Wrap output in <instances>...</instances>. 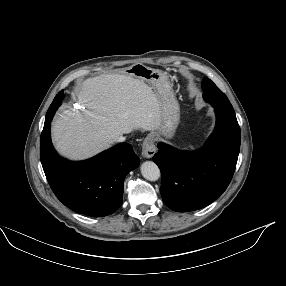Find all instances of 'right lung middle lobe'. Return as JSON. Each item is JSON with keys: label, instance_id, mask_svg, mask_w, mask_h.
<instances>
[{"label": "right lung middle lobe", "instance_id": "obj_1", "mask_svg": "<svg viewBox=\"0 0 286 286\" xmlns=\"http://www.w3.org/2000/svg\"><path fill=\"white\" fill-rule=\"evenodd\" d=\"M63 97H64V93H63V90H62V91H60V92L56 95V97L54 98L52 104L50 105V107H49V109H48V111H47L46 117H45L46 119H47V118H50V115H51L53 112L55 113V111L57 110V108L60 106ZM54 113L52 114V116H54Z\"/></svg>", "mask_w": 286, "mask_h": 286}]
</instances>
